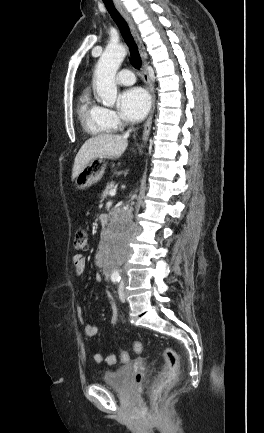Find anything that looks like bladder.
I'll use <instances>...</instances> for the list:
<instances>
[{
    "label": "bladder",
    "instance_id": "1",
    "mask_svg": "<svg viewBox=\"0 0 264 433\" xmlns=\"http://www.w3.org/2000/svg\"><path fill=\"white\" fill-rule=\"evenodd\" d=\"M130 369L120 368L117 370H107L104 372L101 383L106 388H109L118 393H128L130 390Z\"/></svg>",
    "mask_w": 264,
    "mask_h": 433
}]
</instances>
